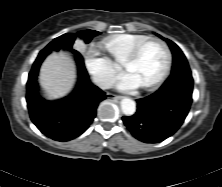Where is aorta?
<instances>
[{
  "mask_svg": "<svg viewBox=\"0 0 222 187\" xmlns=\"http://www.w3.org/2000/svg\"><path fill=\"white\" fill-rule=\"evenodd\" d=\"M120 105L122 112L127 116L133 115L136 111V104L132 99L124 98L121 100Z\"/></svg>",
  "mask_w": 222,
  "mask_h": 187,
  "instance_id": "aorta-1",
  "label": "aorta"
}]
</instances>
